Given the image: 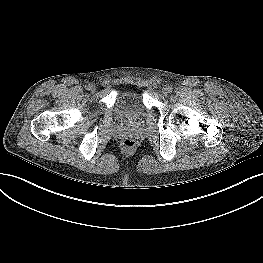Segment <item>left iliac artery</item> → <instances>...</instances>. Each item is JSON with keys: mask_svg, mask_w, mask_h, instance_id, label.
<instances>
[{"mask_svg": "<svg viewBox=\"0 0 263 263\" xmlns=\"http://www.w3.org/2000/svg\"><path fill=\"white\" fill-rule=\"evenodd\" d=\"M167 88L169 90V93L173 91V88L171 86H168Z\"/></svg>", "mask_w": 263, "mask_h": 263, "instance_id": "44dca946", "label": "left iliac artery"}]
</instances>
